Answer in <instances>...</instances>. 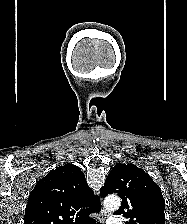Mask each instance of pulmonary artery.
<instances>
[{
	"label": "pulmonary artery",
	"mask_w": 187,
	"mask_h": 224,
	"mask_svg": "<svg viewBox=\"0 0 187 224\" xmlns=\"http://www.w3.org/2000/svg\"><path fill=\"white\" fill-rule=\"evenodd\" d=\"M108 224H123V220L118 217L112 218Z\"/></svg>",
	"instance_id": "obj_1"
}]
</instances>
